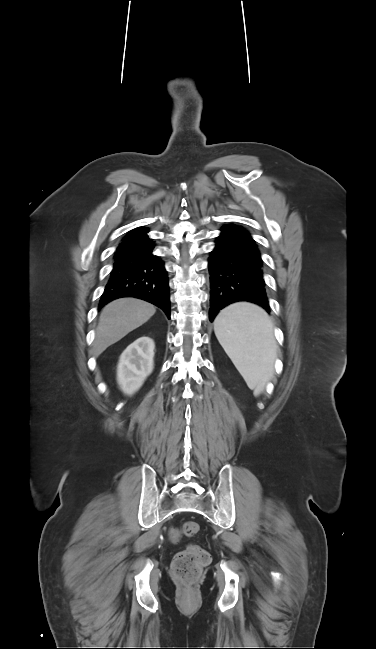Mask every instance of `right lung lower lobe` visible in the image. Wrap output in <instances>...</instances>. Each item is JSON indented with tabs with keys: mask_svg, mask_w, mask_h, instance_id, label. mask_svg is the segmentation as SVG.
<instances>
[{
	"mask_svg": "<svg viewBox=\"0 0 376 649\" xmlns=\"http://www.w3.org/2000/svg\"><path fill=\"white\" fill-rule=\"evenodd\" d=\"M147 232V228L132 231L119 244L99 309L117 298L136 297L160 307L170 318L167 272L153 254L154 242Z\"/></svg>",
	"mask_w": 376,
	"mask_h": 649,
	"instance_id": "obj_1",
	"label": "right lung lower lobe"
}]
</instances>
